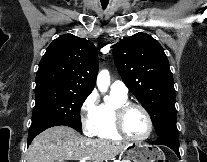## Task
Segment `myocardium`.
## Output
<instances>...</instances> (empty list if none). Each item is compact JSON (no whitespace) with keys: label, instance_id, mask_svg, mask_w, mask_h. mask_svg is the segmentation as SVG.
Here are the masks:
<instances>
[{"label":"myocardium","instance_id":"myocardium-1","mask_svg":"<svg viewBox=\"0 0 207 162\" xmlns=\"http://www.w3.org/2000/svg\"><path fill=\"white\" fill-rule=\"evenodd\" d=\"M133 108H137L141 110L144 113L147 119V123H148V130L146 134L138 138L130 136L126 132L125 126H124L126 115ZM114 128H115L116 133L122 138H125L130 141H134V142H142L151 136L153 129H154V124H153V120L151 118L150 113L143 105L128 101L122 105H119L118 107L114 109Z\"/></svg>","mask_w":207,"mask_h":162}]
</instances>
